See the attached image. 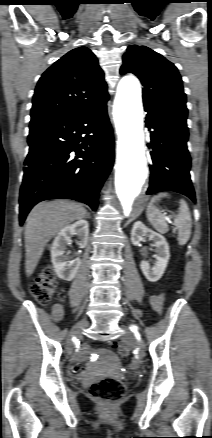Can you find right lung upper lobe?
Listing matches in <instances>:
<instances>
[{"instance_id":"right-lung-upper-lobe-1","label":"right lung upper lobe","mask_w":212,"mask_h":438,"mask_svg":"<svg viewBox=\"0 0 212 438\" xmlns=\"http://www.w3.org/2000/svg\"><path fill=\"white\" fill-rule=\"evenodd\" d=\"M108 99L96 56L88 48L79 47L61 57L39 79L31 122L91 111Z\"/></svg>"}]
</instances>
